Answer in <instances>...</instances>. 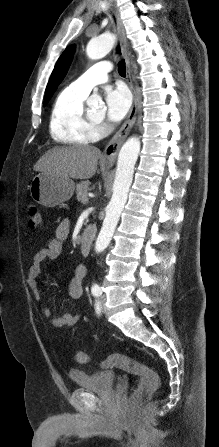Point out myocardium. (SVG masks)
<instances>
[{"mask_svg":"<svg viewBox=\"0 0 219 447\" xmlns=\"http://www.w3.org/2000/svg\"><path fill=\"white\" fill-rule=\"evenodd\" d=\"M85 119L87 123L95 128L100 125V121L93 119L88 113H85Z\"/></svg>","mask_w":219,"mask_h":447,"instance_id":"f54148a6","label":"myocardium"}]
</instances>
